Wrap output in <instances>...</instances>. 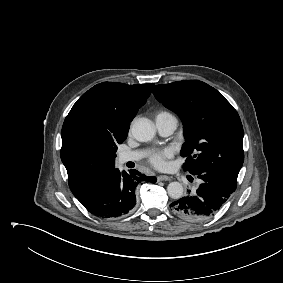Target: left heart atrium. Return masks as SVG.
<instances>
[{
    "mask_svg": "<svg viewBox=\"0 0 283 283\" xmlns=\"http://www.w3.org/2000/svg\"><path fill=\"white\" fill-rule=\"evenodd\" d=\"M172 156V152L169 149L153 152L149 157V162L158 169H163L167 165V159Z\"/></svg>",
    "mask_w": 283,
    "mask_h": 283,
    "instance_id": "left-heart-atrium-1",
    "label": "left heart atrium"
}]
</instances>
